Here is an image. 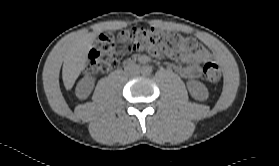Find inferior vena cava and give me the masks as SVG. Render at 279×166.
Returning <instances> with one entry per match:
<instances>
[{
  "instance_id": "inferior-vena-cava-1",
  "label": "inferior vena cava",
  "mask_w": 279,
  "mask_h": 166,
  "mask_svg": "<svg viewBox=\"0 0 279 166\" xmlns=\"http://www.w3.org/2000/svg\"><path fill=\"white\" fill-rule=\"evenodd\" d=\"M137 73H138V72L135 71V70H134V71H133V70L130 71V74H137Z\"/></svg>"
}]
</instances>
